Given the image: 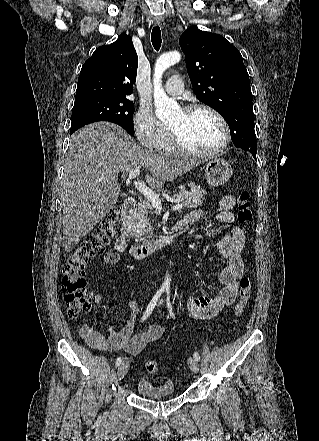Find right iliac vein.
I'll return each instance as SVG.
<instances>
[{"instance_id":"obj_1","label":"right iliac vein","mask_w":319,"mask_h":441,"mask_svg":"<svg viewBox=\"0 0 319 441\" xmlns=\"http://www.w3.org/2000/svg\"><path fill=\"white\" fill-rule=\"evenodd\" d=\"M129 369V363L128 361H124L120 364L118 371H117V376L118 379L121 380L125 377V375L127 374Z\"/></svg>"}]
</instances>
